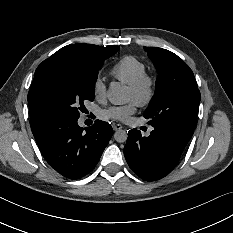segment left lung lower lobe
<instances>
[{"mask_svg": "<svg viewBox=\"0 0 233 233\" xmlns=\"http://www.w3.org/2000/svg\"><path fill=\"white\" fill-rule=\"evenodd\" d=\"M193 131L178 128H154L148 137L132 129L128 133L124 155L129 167L143 180L155 181L168 175L177 165Z\"/></svg>", "mask_w": 233, "mask_h": 233, "instance_id": "1", "label": "left lung lower lobe"}]
</instances>
